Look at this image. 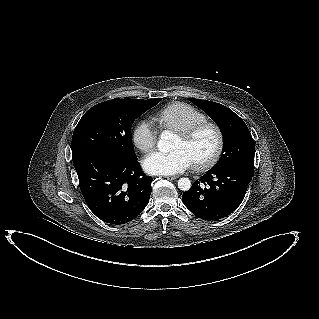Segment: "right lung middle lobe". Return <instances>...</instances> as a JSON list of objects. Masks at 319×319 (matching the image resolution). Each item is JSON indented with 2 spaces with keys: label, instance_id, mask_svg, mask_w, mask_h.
<instances>
[{
  "label": "right lung middle lobe",
  "instance_id": "right-lung-middle-lobe-1",
  "mask_svg": "<svg viewBox=\"0 0 319 319\" xmlns=\"http://www.w3.org/2000/svg\"><path fill=\"white\" fill-rule=\"evenodd\" d=\"M161 99H113L90 108L72 136V160L93 151H112L123 159L135 157L131 126Z\"/></svg>",
  "mask_w": 319,
  "mask_h": 319
}]
</instances>
